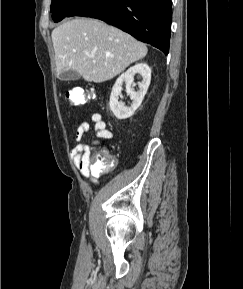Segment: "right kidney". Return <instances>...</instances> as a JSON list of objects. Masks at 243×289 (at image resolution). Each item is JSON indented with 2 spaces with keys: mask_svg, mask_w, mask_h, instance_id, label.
Returning a JSON list of instances; mask_svg holds the SVG:
<instances>
[{
  "mask_svg": "<svg viewBox=\"0 0 243 289\" xmlns=\"http://www.w3.org/2000/svg\"><path fill=\"white\" fill-rule=\"evenodd\" d=\"M137 73L142 76V81L138 83L139 91L136 92L131 88V85L134 81V75ZM150 81L151 69L146 63H137L118 77L113 86L109 101L110 110L113 112L116 118L122 120L129 118L134 114V112L141 105L143 98L147 93ZM123 83H126V92L132 100L130 107L123 106L118 101Z\"/></svg>",
  "mask_w": 243,
  "mask_h": 289,
  "instance_id": "ca27d5eb",
  "label": "right kidney"
}]
</instances>
